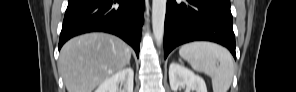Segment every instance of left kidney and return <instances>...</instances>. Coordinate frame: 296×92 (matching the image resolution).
Instances as JSON below:
<instances>
[{"instance_id": "1", "label": "left kidney", "mask_w": 296, "mask_h": 92, "mask_svg": "<svg viewBox=\"0 0 296 92\" xmlns=\"http://www.w3.org/2000/svg\"><path fill=\"white\" fill-rule=\"evenodd\" d=\"M169 81L173 92H177L178 88L183 86L192 92H207L204 79L178 63L170 64Z\"/></svg>"}]
</instances>
